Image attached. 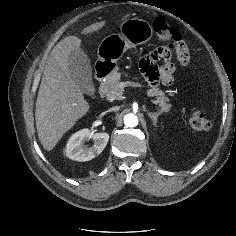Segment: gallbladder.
<instances>
[{"instance_id": "obj_1", "label": "gallbladder", "mask_w": 236, "mask_h": 236, "mask_svg": "<svg viewBox=\"0 0 236 236\" xmlns=\"http://www.w3.org/2000/svg\"><path fill=\"white\" fill-rule=\"evenodd\" d=\"M67 67L71 78L79 86L81 91L87 95H92L94 93L92 67L84 51H72Z\"/></svg>"}]
</instances>
